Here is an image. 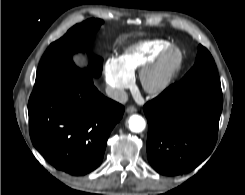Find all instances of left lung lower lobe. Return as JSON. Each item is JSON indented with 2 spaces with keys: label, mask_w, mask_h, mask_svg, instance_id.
I'll return each instance as SVG.
<instances>
[{
  "label": "left lung lower lobe",
  "mask_w": 245,
  "mask_h": 195,
  "mask_svg": "<svg viewBox=\"0 0 245 195\" xmlns=\"http://www.w3.org/2000/svg\"><path fill=\"white\" fill-rule=\"evenodd\" d=\"M222 93L173 84L144 105L147 156L160 174L187 173L212 152L222 112Z\"/></svg>",
  "instance_id": "obj_1"
}]
</instances>
